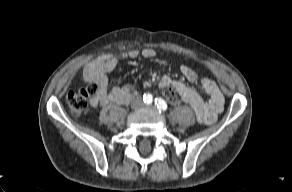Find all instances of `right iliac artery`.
Here are the masks:
<instances>
[{
    "label": "right iliac artery",
    "instance_id": "right-iliac-artery-1",
    "mask_svg": "<svg viewBox=\"0 0 292 192\" xmlns=\"http://www.w3.org/2000/svg\"><path fill=\"white\" fill-rule=\"evenodd\" d=\"M143 101L146 103V104H151L153 102V96L151 94H145L143 96Z\"/></svg>",
    "mask_w": 292,
    "mask_h": 192
}]
</instances>
